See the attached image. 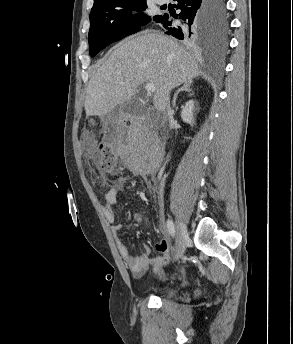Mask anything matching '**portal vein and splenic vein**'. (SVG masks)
Returning <instances> with one entry per match:
<instances>
[{
  "instance_id": "1",
  "label": "portal vein and splenic vein",
  "mask_w": 293,
  "mask_h": 344,
  "mask_svg": "<svg viewBox=\"0 0 293 344\" xmlns=\"http://www.w3.org/2000/svg\"><path fill=\"white\" fill-rule=\"evenodd\" d=\"M155 89H156V87L153 83H147L145 85V90L147 91V93H152L155 91Z\"/></svg>"
}]
</instances>
